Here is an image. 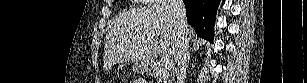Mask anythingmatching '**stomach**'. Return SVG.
Instances as JSON below:
<instances>
[{
    "instance_id": "1",
    "label": "stomach",
    "mask_w": 307,
    "mask_h": 83,
    "mask_svg": "<svg viewBox=\"0 0 307 83\" xmlns=\"http://www.w3.org/2000/svg\"><path fill=\"white\" fill-rule=\"evenodd\" d=\"M137 70L139 71H144L145 69L143 68V66H141L140 64L137 66Z\"/></svg>"
}]
</instances>
